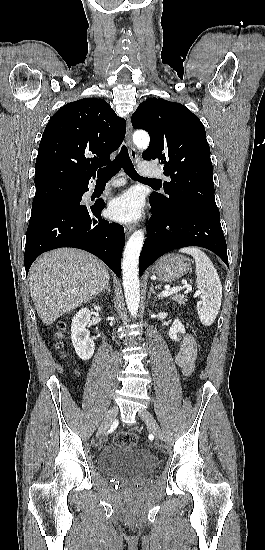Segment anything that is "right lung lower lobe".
<instances>
[{
    "mask_svg": "<svg viewBox=\"0 0 265 550\" xmlns=\"http://www.w3.org/2000/svg\"><path fill=\"white\" fill-rule=\"evenodd\" d=\"M80 190L82 198L88 186ZM81 198L32 211L25 245L26 276L33 261L43 252L74 247L96 255L120 277L124 228L102 219L103 199L93 206H84L80 204Z\"/></svg>",
    "mask_w": 265,
    "mask_h": 550,
    "instance_id": "right-lung-lower-lobe-1",
    "label": "right lung lower lobe"
}]
</instances>
